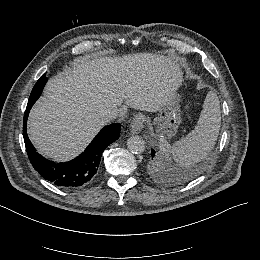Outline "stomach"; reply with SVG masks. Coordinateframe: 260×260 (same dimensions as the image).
Masks as SVG:
<instances>
[{
	"label": "stomach",
	"instance_id": "0dacf381",
	"mask_svg": "<svg viewBox=\"0 0 260 260\" xmlns=\"http://www.w3.org/2000/svg\"><path fill=\"white\" fill-rule=\"evenodd\" d=\"M181 121L179 100L177 94H175L161 106L158 116L153 121V125L157 135L165 139L176 135Z\"/></svg>",
	"mask_w": 260,
	"mask_h": 260
}]
</instances>
